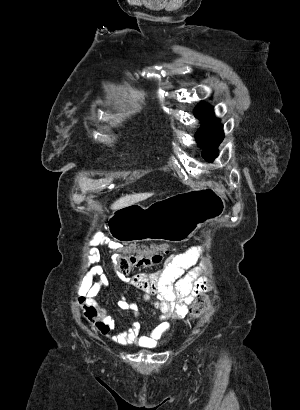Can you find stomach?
Returning <instances> with one entry per match:
<instances>
[{"label":"stomach","mask_w":300,"mask_h":410,"mask_svg":"<svg viewBox=\"0 0 300 410\" xmlns=\"http://www.w3.org/2000/svg\"><path fill=\"white\" fill-rule=\"evenodd\" d=\"M225 198L211 188H195L144 207L132 204L108 218V231L117 241L184 242L204 223L221 217Z\"/></svg>","instance_id":"stomach-1"}]
</instances>
